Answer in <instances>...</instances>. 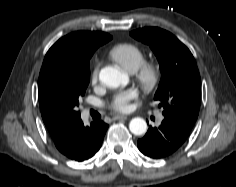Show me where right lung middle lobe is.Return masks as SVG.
Masks as SVG:
<instances>
[{
	"label": "right lung middle lobe",
	"mask_w": 236,
	"mask_h": 187,
	"mask_svg": "<svg viewBox=\"0 0 236 187\" xmlns=\"http://www.w3.org/2000/svg\"><path fill=\"white\" fill-rule=\"evenodd\" d=\"M95 50L76 56L53 53L44 59L38 80L42 114L80 120L77 107L89 84V59Z\"/></svg>",
	"instance_id": "obj_1"
}]
</instances>
